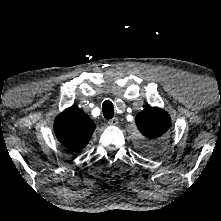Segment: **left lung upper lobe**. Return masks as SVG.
I'll list each match as a JSON object with an SVG mask.
<instances>
[{
  "label": "left lung upper lobe",
  "instance_id": "5c2ea615",
  "mask_svg": "<svg viewBox=\"0 0 221 221\" xmlns=\"http://www.w3.org/2000/svg\"><path fill=\"white\" fill-rule=\"evenodd\" d=\"M141 133L138 142L139 151L146 156L157 157L165 146L164 134L171 125L169 114L157 107H146L135 118Z\"/></svg>",
  "mask_w": 221,
  "mask_h": 221
}]
</instances>
